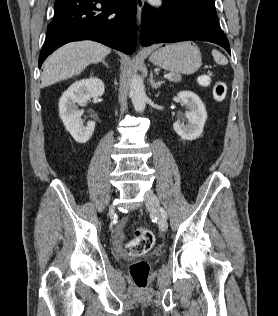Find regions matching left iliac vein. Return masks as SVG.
Returning a JSON list of instances; mask_svg holds the SVG:
<instances>
[{"mask_svg":"<svg viewBox=\"0 0 278 316\" xmlns=\"http://www.w3.org/2000/svg\"><path fill=\"white\" fill-rule=\"evenodd\" d=\"M145 203L148 210L157 216L158 226L160 230L164 232L167 231L168 229L167 221L159 212V207H160L159 199L157 198V196L154 194L153 191L149 190L145 193Z\"/></svg>","mask_w":278,"mask_h":316,"instance_id":"left-iliac-vein-1","label":"left iliac vein"}]
</instances>
